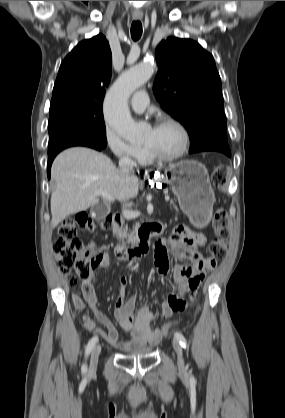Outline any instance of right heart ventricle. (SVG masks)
<instances>
[{
  "mask_svg": "<svg viewBox=\"0 0 285 418\" xmlns=\"http://www.w3.org/2000/svg\"><path fill=\"white\" fill-rule=\"evenodd\" d=\"M139 160L141 161V162H143V163H148V162H150L151 161V159L147 156V154H145V153H142L140 156H139Z\"/></svg>",
  "mask_w": 285,
  "mask_h": 418,
  "instance_id": "right-heart-ventricle-1",
  "label": "right heart ventricle"
}]
</instances>
